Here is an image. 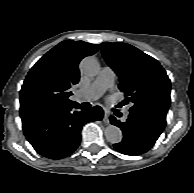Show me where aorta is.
Returning a JSON list of instances; mask_svg holds the SVG:
<instances>
[{"label": "aorta", "mask_w": 194, "mask_h": 193, "mask_svg": "<svg viewBox=\"0 0 194 193\" xmlns=\"http://www.w3.org/2000/svg\"><path fill=\"white\" fill-rule=\"evenodd\" d=\"M80 68L86 76L92 77L98 74L100 66L96 58L88 56L81 61ZM105 137L115 144L121 142L123 134L119 127L109 124L105 129Z\"/></svg>", "instance_id": "762f6f07"}]
</instances>
